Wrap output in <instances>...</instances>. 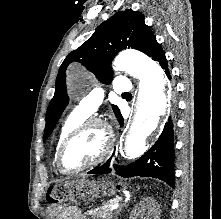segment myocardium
<instances>
[{"mask_svg": "<svg viewBox=\"0 0 221 219\" xmlns=\"http://www.w3.org/2000/svg\"><path fill=\"white\" fill-rule=\"evenodd\" d=\"M93 126H98L104 132L105 144L101 153L97 156V158H95L90 163L84 166L74 169L66 167L64 164V153L66 151V148L80 133ZM113 145H114L113 130L107 122L96 117L86 119L83 122H81L79 125H77L75 128H73L60 144L56 155L57 167L61 173L69 175L91 169L97 166L98 164H100L110 154Z\"/></svg>", "mask_w": 221, "mask_h": 219, "instance_id": "f54148a6", "label": "myocardium"}]
</instances>
